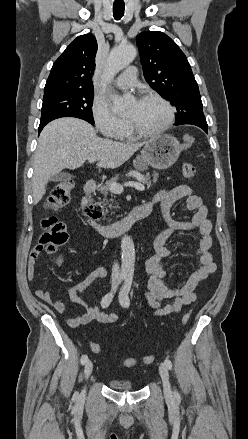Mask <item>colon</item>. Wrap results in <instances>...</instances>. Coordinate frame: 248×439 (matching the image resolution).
Masks as SVG:
<instances>
[{
    "label": "colon",
    "instance_id": "1",
    "mask_svg": "<svg viewBox=\"0 0 248 439\" xmlns=\"http://www.w3.org/2000/svg\"><path fill=\"white\" fill-rule=\"evenodd\" d=\"M182 174L185 179H192L196 174V166L191 162H185L182 165ZM74 184L72 181L65 180L58 183L53 190L51 191L48 200L47 207L51 210H57L64 205H66L73 191ZM42 226L44 228V232L40 237L38 244L35 249L39 252H53L56 248L63 245L67 239L68 234L66 230V226L63 222L59 221L56 217H47L42 221ZM190 319V312H187L182 317V323L186 324ZM90 347L93 352L100 354L102 352L101 347L94 343H90ZM154 356L148 355L141 359L136 358H125L122 361V364L126 367H133L137 364H151L154 362Z\"/></svg>",
    "mask_w": 248,
    "mask_h": 439
}]
</instances>
